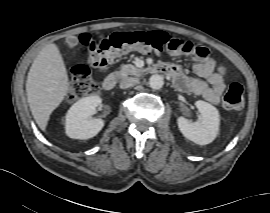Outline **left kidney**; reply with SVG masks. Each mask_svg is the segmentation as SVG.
<instances>
[{
    "label": "left kidney",
    "mask_w": 270,
    "mask_h": 213,
    "mask_svg": "<svg viewBox=\"0 0 270 213\" xmlns=\"http://www.w3.org/2000/svg\"><path fill=\"white\" fill-rule=\"evenodd\" d=\"M198 108L201 120L190 121L184 117L177 119L180 132L185 138L198 145L211 143L218 135L220 116L218 110L211 104L198 100L195 102Z\"/></svg>",
    "instance_id": "left-kidney-1"
}]
</instances>
